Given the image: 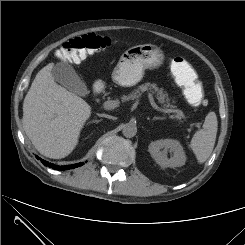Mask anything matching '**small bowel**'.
I'll return each mask as SVG.
<instances>
[{"label":"small bowel","instance_id":"c3829d8e","mask_svg":"<svg viewBox=\"0 0 245 245\" xmlns=\"http://www.w3.org/2000/svg\"><path fill=\"white\" fill-rule=\"evenodd\" d=\"M181 57H176L172 62V72L173 74H179L183 78H192L196 77L195 71L192 67L185 61L183 65L178 64L176 59ZM181 66V68H179Z\"/></svg>","mask_w":245,"mask_h":245}]
</instances>
